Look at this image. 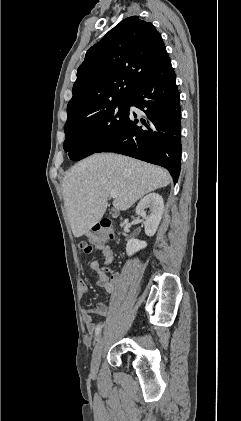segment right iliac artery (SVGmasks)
I'll return each mask as SVG.
<instances>
[{
	"label": "right iliac artery",
	"instance_id": "right-iliac-artery-1",
	"mask_svg": "<svg viewBox=\"0 0 241 421\" xmlns=\"http://www.w3.org/2000/svg\"><path fill=\"white\" fill-rule=\"evenodd\" d=\"M101 326H99L98 328H97V330H96V337L98 338L99 336H100V333H101Z\"/></svg>",
	"mask_w": 241,
	"mask_h": 421
}]
</instances>
